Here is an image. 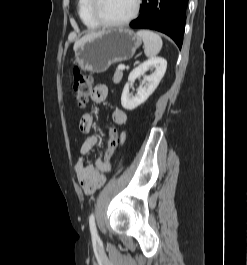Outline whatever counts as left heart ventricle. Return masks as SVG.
I'll return each instance as SVG.
<instances>
[{"mask_svg": "<svg viewBox=\"0 0 247 265\" xmlns=\"http://www.w3.org/2000/svg\"><path fill=\"white\" fill-rule=\"evenodd\" d=\"M136 0H101L99 12L111 22L126 19L133 11Z\"/></svg>", "mask_w": 247, "mask_h": 265, "instance_id": "b2bd125f", "label": "left heart ventricle"}]
</instances>
